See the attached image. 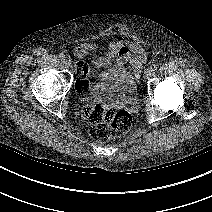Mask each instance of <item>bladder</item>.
Segmentation results:
<instances>
[{
	"instance_id": "1",
	"label": "bladder",
	"mask_w": 212,
	"mask_h": 212,
	"mask_svg": "<svg viewBox=\"0 0 212 212\" xmlns=\"http://www.w3.org/2000/svg\"><path fill=\"white\" fill-rule=\"evenodd\" d=\"M81 95L95 101L128 104L137 98V86L123 67L111 68L100 72Z\"/></svg>"
}]
</instances>
